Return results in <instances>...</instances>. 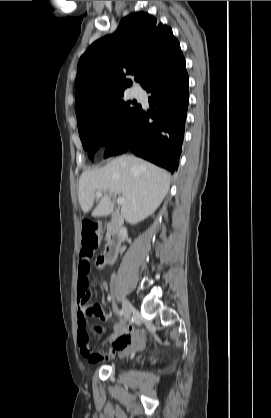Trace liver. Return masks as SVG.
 Instances as JSON below:
<instances>
[{
	"instance_id": "obj_1",
	"label": "liver",
	"mask_w": 271,
	"mask_h": 418,
	"mask_svg": "<svg viewBox=\"0 0 271 418\" xmlns=\"http://www.w3.org/2000/svg\"><path fill=\"white\" fill-rule=\"evenodd\" d=\"M170 174L145 160L122 155L104 167L84 171L79 179V203L84 213L94 204L96 192H103L92 216L101 217L113 212L114 204L108 195L120 194L125 199L122 217L137 224L152 215L160 206L170 187Z\"/></svg>"
}]
</instances>
